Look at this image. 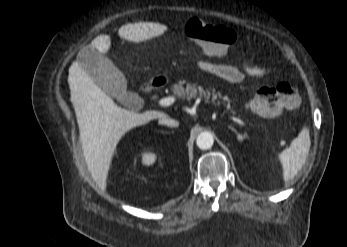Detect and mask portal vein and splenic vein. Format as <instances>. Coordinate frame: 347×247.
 Listing matches in <instances>:
<instances>
[{
    "label": "portal vein and splenic vein",
    "instance_id": "obj_1",
    "mask_svg": "<svg viewBox=\"0 0 347 247\" xmlns=\"http://www.w3.org/2000/svg\"><path fill=\"white\" fill-rule=\"evenodd\" d=\"M176 101V98L174 96H168L165 98H162L159 100V105L167 107V106H171L172 104H174ZM239 124L242 126H246V122H244L243 120H239Z\"/></svg>",
    "mask_w": 347,
    "mask_h": 247
}]
</instances>
